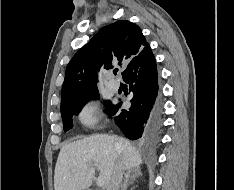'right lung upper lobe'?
I'll list each match as a JSON object with an SVG mask.
<instances>
[{
  "mask_svg": "<svg viewBox=\"0 0 234 190\" xmlns=\"http://www.w3.org/2000/svg\"><path fill=\"white\" fill-rule=\"evenodd\" d=\"M147 47L149 44L141 29L132 22L119 20L103 27L67 65L61 104L97 90L95 65L111 69L112 63L131 62Z\"/></svg>",
  "mask_w": 234,
  "mask_h": 190,
  "instance_id": "1",
  "label": "right lung upper lobe"
}]
</instances>
